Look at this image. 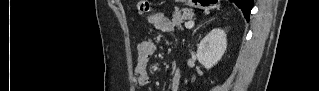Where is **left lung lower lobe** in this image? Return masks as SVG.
Segmentation results:
<instances>
[{
    "label": "left lung lower lobe",
    "mask_w": 319,
    "mask_h": 91,
    "mask_svg": "<svg viewBox=\"0 0 319 91\" xmlns=\"http://www.w3.org/2000/svg\"><path fill=\"white\" fill-rule=\"evenodd\" d=\"M230 1H233L242 10L244 17L246 18L247 21H249L250 11L253 7V0H230Z\"/></svg>",
    "instance_id": "obj_1"
}]
</instances>
